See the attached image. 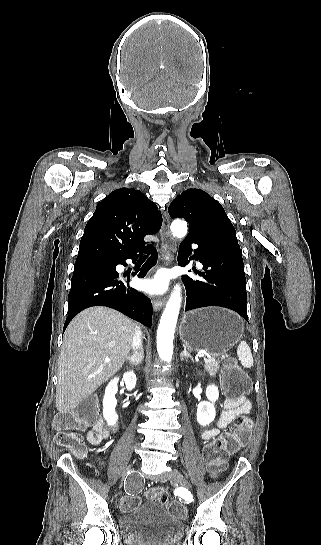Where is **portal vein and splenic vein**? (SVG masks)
Masks as SVG:
<instances>
[{
	"instance_id": "18ae733b",
	"label": "portal vein and splenic vein",
	"mask_w": 321,
	"mask_h": 545,
	"mask_svg": "<svg viewBox=\"0 0 321 545\" xmlns=\"http://www.w3.org/2000/svg\"><path fill=\"white\" fill-rule=\"evenodd\" d=\"M204 355H205V353H200L199 358H203V361H206V359L204 358ZM105 361H106V363H109L110 359H108V357H106Z\"/></svg>"
}]
</instances>
